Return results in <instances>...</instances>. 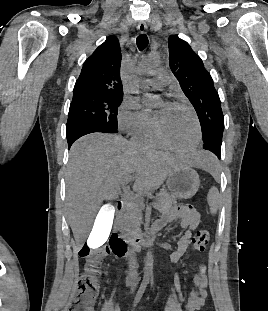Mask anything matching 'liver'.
Listing matches in <instances>:
<instances>
[{
	"label": "liver",
	"instance_id": "6515ba94",
	"mask_svg": "<svg viewBox=\"0 0 268 311\" xmlns=\"http://www.w3.org/2000/svg\"><path fill=\"white\" fill-rule=\"evenodd\" d=\"M212 158L198 151L184 159L138 147L113 134L92 133L77 140L70 149L67 166L66 203L78 248L93 230L104 200L116 199L126 178H135V192L154 190L175 168L183 164L206 168Z\"/></svg>",
	"mask_w": 268,
	"mask_h": 311
}]
</instances>
